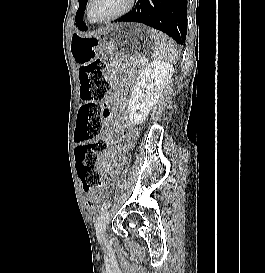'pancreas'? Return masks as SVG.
Listing matches in <instances>:
<instances>
[{
    "label": "pancreas",
    "mask_w": 265,
    "mask_h": 273,
    "mask_svg": "<svg viewBox=\"0 0 265 273\" xmlns=\"http://www.w3.org/2000/svg\"><path fill=\"white\" fill-rule=\"evenodd\" d=\"M136 63H137L138 65H140V64H141V65L145 64L143 58L137 59V60H136Z\"/></svg>",
    "instance_id": "1"
}]
</instances>
